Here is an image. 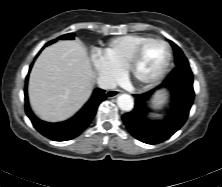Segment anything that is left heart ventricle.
Returning <instances> with one entry per match:
<instances>
[{"instance_id":"obj_1","label":"left heart ventricle","mask_w":222,"mask_h":187,"mask_svg":"<svg viewBox=\"0 0 222 187\" xmlns=\"http://www.w3.org/2000/svg\"><path fill=\"white\" fill-rule=\"evenodd\" d=\"M168 50L158 41L149 43L135 69V77L140 80H149L157 76L167 61Z\"/></svg>"}]
</instances>
